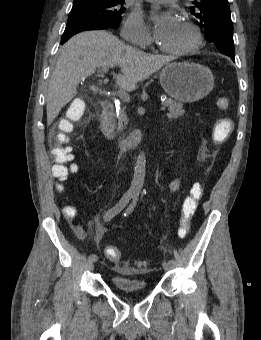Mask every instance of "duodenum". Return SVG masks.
I'll return each mask as SVG.
<instances>
[{
  "mask_svg": "<svg viewBox=\"0 0 261 340\" xmlns=\"http://www.w3.org/2000/svg\"><path fill=\"white\" fill-rule=\"evenodd\" d=\"M115 107L112 102L106 101L102 106L101 130L104 136L112 138L114 131ZM141 139L140 131H135L127 138L120 141V146L124 151L134 149Z\"/></svg>",
  "mask_w": 261,
  "mask_h": 340,
  "instance_id": "410a0bca",
  "label": "duodenum"
}]
</instances>
